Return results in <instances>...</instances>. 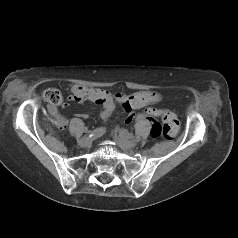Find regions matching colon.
<instances>
[{
  "instance_id": "5ec220e1",
  "label": "colon",
  "mask_w": 238,
  "mask_h": 238,
  "mask_svg": "<svg viewBox=\"0 0 238 238\" xmlns=\"http://www.w3.org/2000/svg\"><path fill=\"white\" fill-rule=\"evenodd\" d=\"M43 98L53 106H58L62 103V95L59 90L55 88H48L43 92ZM144 115L148 119L155 118L161 120L163 123H154L151 129V136L157 138L163 136L167 139L174 137L179 128V122L177 118L169 112H163L161 109L147 108Z\"/></svg>"
}]
</instances>
